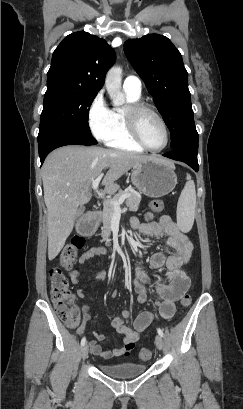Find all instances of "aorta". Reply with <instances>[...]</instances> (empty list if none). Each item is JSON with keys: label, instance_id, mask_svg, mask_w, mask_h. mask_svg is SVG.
Segmentation results:
<instances>
[{"label": "aorta", "instance_id": "762f6f07", "mask_svg": "<svg viewBox=\"0 0 243 409\" xmlns=\"http://www.w3.org/2000/svg\"><path fill=\"white\" fill-rule=\"evenodd\" d=\"M122 68L113 66L107 73L105 86L114 106L125 103V96L121 92Z\"/></svg>", "mask_w": 243, "mask_h": 409}]
</instances>
